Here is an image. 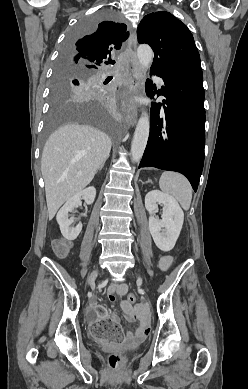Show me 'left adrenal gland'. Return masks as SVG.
Instances as JSON below:
<instances>
[{
    "instance_id": "left-adrenal-gland-1",
    "label": "left adrenal gland",
    "mask_w": 248,
    "mask_h": 389,
    "mask_svg": "<svg viewBox=\"0 0 248 389\" xmlns=\"http://www.w3.org/2000/svg\"><path fill=\"white\" fill-rule=\"evenodd\" d=\"M146 183H151V180L148 179V181Z\"/></svg>"
}]
</instances>
